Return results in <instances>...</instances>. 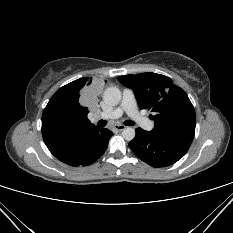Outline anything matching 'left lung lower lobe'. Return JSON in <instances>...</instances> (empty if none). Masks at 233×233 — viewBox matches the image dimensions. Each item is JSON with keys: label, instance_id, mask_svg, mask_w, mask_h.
<instances>
[{"label": "left lung lower lobe", "instance_id": "1", "mask_svg": "<svg viewBox=\"0 0 233 233\" xmlns=\"http://www.w3.org/2000/svg\"><path fill=\"white\" fill-rule=\"evenodd\" d=\"M129 142L134 154L153 167H166L181 159L191 144L161 139L152 132L137 128Z\"/></svg>", "mask_w": 233, "mask_h": 233}]
</instances>
